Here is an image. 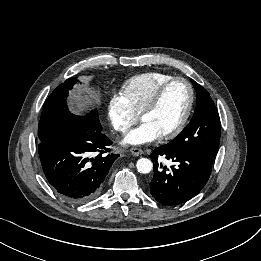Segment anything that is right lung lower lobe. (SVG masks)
I'll return each mask as SVG.
<instances>
[{
  "label": "right lung lower lobe",
  "mask_w": 261,
  "mask_h": 261,
  "mask_svg": "<svg viewBox=\"0 0 261 261\" xmlns=\"http://www.w3.org/2000/svg\"><path fill=\"white\" fill-rule=\"evenodd\" d=\"M97 128L79 123L38 146L44 174L63 199L86 202L100 191L118 154H107L112 141ZM94 155V156H93Z\"/></svg>",
  "instance_id": "right-lung-lower-lobe-1"
}]
</instances>
